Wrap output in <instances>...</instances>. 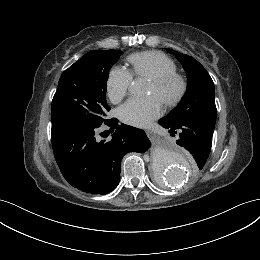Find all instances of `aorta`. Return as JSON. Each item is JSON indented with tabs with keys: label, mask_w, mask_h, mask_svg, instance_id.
Segmentation results:
<instances>
[{
	"label": "aorta",
	"mask_w": 260,
	"mask_h": 260,
	"mask_svg": "<svg viewBox=\"0 0 260 260\" xmlns=\"http://www.w3.org/2000/svg\"><path fill=\"white\" fill-rule=\"evenodd\" d=\"M129 91L134 95H142L144 87L141 82L131 84ZM152 168L156 178L169 186L180 185L190 176L191 163L180 151L157 146L152 151Z\"/></svg>",
	"instance_id": "obj_1"
}]
</instances>
